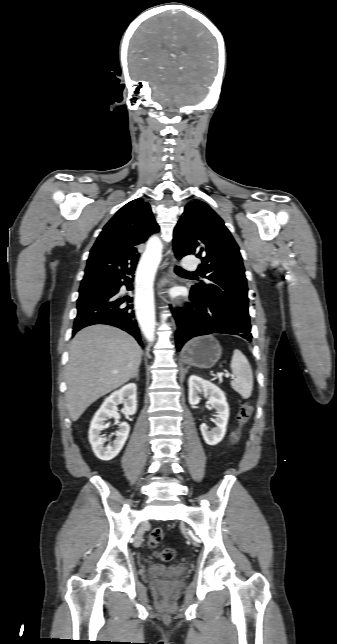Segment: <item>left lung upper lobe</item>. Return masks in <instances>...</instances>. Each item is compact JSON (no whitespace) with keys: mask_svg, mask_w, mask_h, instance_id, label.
I'll use <instances>...</instances> for the list:
<instances>
[{"mask_svg":"<svg viewBox=\"0 0 337 644\" xmlns=\"http://www.w3.org/2000/svg\"><path fill=\"white\" fill-rule=\"evenodd\" d=\"M177 259L193 254L200 258V281L191 293L203 302L215 301L250 322L248 288L239 247L223 220L204 202H189L174 229Z\"/></svg>","mask_w":337,"mask_h":644,"instance_id":"5c2ea615","label":"left lung upper lobe"}]
</instances>
